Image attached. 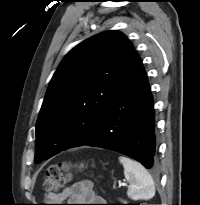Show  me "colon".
<instances>
[{"instance_id":"obj_1","label":"colon","mask_w":200,"mask_h":205,"mask_svg":"<svg viewBox=\"0 0 200 205\" xmlns=\"http://www.w3.org/2000/svg\"><path fill=\"white\" fill-rule=\"evenodd\" d=\"M69 179V166L66 163L51 165L47 169L43 181V189L46 195L57 193Z\"/></svg>"}]
</instances>
